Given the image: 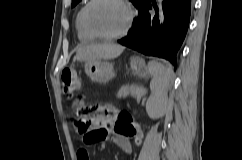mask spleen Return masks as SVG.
Instances as JSON below:
<instances>
[{
    "label": "spleen",
    "instance_id": "obj_1",
    "mask_svg": "<svg viewBox=\"0 0 242 160\" xmlns=\"http://www.w3.org/2000/svg\"><path fill=\"white\" fill-rule=\"evenodd\" d=\"M148 72L153 76L150 83L153 95L149 98V100H155L157 103L162 105L166 95V89L172 79V68L164 66L156 61H150L148 63Z\"/></svg>",
    "mask_w": 242,
    "mask_h": 160
}]
</instances>
